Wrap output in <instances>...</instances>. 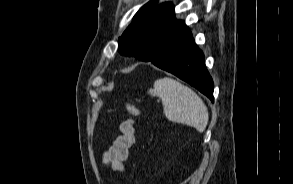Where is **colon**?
<instances>
[{
  "label": "colon",
  "instance_id": "1",
  "mask_svg": "<svg viewBox=\"0 0 293 184\" xmlns=\"http://www.w3.org/2000/svg\"><path fill=\"white\" fill-rule=\"evenodd\" d=\"M123 107L125 108V110L132 116L135 117H143L142 112L133 104L129 103V102H124L123 103Z\"/></svg>",
  "mask_w": 293,
  "mask_h": 184
}]
</instances>
